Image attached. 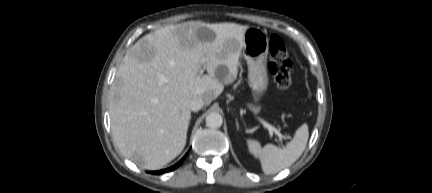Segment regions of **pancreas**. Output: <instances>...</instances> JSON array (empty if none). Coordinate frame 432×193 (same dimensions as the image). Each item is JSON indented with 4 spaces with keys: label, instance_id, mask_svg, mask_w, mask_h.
Segmentation results:
<instances>
[{
    "label": "pancreas",
    "instance_id": "pancreas-1",
    "mask_svg": "<svg viewBox=\"0 0 432 193\" xmlns=\"http://www.w3.org/2000/svg\"><path fill=\"white\" fill-rule=\"evenodd\" d=\"M249 108H251V109L254 110V111H257V108H255V107H253V106H251V105H249Z\"/></svg>",
    "mask_w": 432,
    "mask_h": 193
}]
</instances>
